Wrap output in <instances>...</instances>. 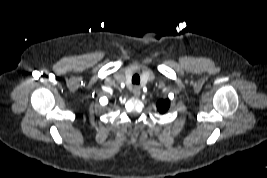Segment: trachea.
<instances>
[{
  "label": "trachea",
  "instance_id": "3493384b",
  "mask_svg": "<svg viewBox=\"0 0 267 178\" xmlns=\"http://www.w3.org/2000/svg\"><path fill=\"white\" fill-rule=\"evenodd\" d=\"M132 83L138 85L140 83V77L138 74H134L132 77Z\"/></svg>",
  "mask_w": 267,
  "mask_h": 178
}]
</instances>
